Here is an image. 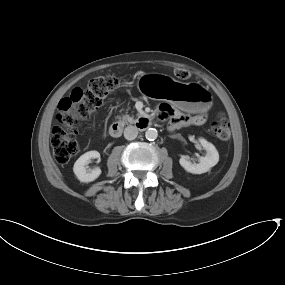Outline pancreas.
I'll return each mask as SVG.
<instances>
[{
	"label": "pancreas",
	"instance_id": "pancreas-1",
	"mask_svg": "<svg viewBox=\"0 0 285 285\" xmlns=\"http://www.w3.org/2000/svg\"><path fill=\"white\" fill-rule=\"evenodd\" d=\"M118 119H119L120 122L123 123V124H128V123L134 124V123L137 122V120L134 119L133 116H130L129 114H127V112H126V114L122 115V117L119 116Z\"/></svg>",
	"mask_w": 285,
	"mask_h": 285
}]
</instances>
